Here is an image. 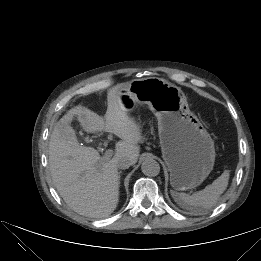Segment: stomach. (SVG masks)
I'll return each instance as SVG.
<instances>
[{
  "instance_id": "0dacf381",
  "label": "stomach",
  "mask_w": 261,
  "mask_h": 261,
  "mask_svg": "<svg viewBox=\"0 0 261 261\" xmlns=\"http://www.w3.org/2000/svg\"><path fill=\"white\" fill-rule=\"evenodd\" d=\"M128 110L146 104L158 120L162 157L177 191L199 186L215 162L214 141L188 107L182 90L157 77L136 79L119 92Z\"/></svg>"
}]
</instances>
